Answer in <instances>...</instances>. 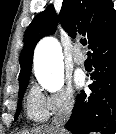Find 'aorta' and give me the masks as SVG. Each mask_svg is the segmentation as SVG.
Instances as JSON below:
<instances>
[{
	"label": "aorta",
	"instance_id": "obj_1",
	"mask_svg": "<svg viewBox=\"0 0 116 134\" xmlns=\"http://www.w3.org/2000/svg\"><path fill=\"white\" fill-rule=\"evenodd\" d=\"M34 69L39 83L56 92L64 85L63 55L60 43L53 37L43 38L34 52Z\"/></svg>",
	"mask_w": 116,
	"mask_h": 134
}]
</instances>
